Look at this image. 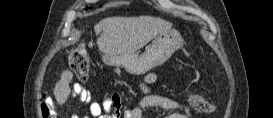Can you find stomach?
<instances>
[{
    "label": "stomach",
    "instance_id": "1",
    "mask_svg": "<svg viewBox=\"0 0 273 118\" xmlns=\"http://www.w3.org/2000/svg\"><path fill=\"white\" fill-rule=\"evenodd\" d=\"M182 43L180 33L170 28L159 33L142 54L133 52L111 55L105 53L102 58L103 62L109 66L122 67L130 74L141 75L169 60Z\"/></svg>",
    "mask_w": 273,
    "mask_h": 118
}]
</instances>
